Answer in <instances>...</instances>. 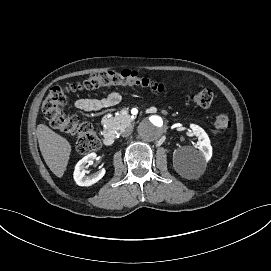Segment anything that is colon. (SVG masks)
I'll use <instances>...</instances> for the list:
<instances>
[{
    "label": "colon",
    "mask_w": 271,
    "mask_h": 271,
    "mask_svg": "<svg viewBox=\"0 0 271 271\" xmlns=\"http://www.w3.org/2000/svg\"><path fill=\"white\" fill-rule=\"evenodd\" d=\"M108 86H140L159 93L166 90L163 83L128 69L121 72H99L80 82L51 88L42 101V111L55 130L77 136L76 150L80 155L98 150L100 142L90 123L63 111L67 95L75 91H94ZM188 97L195 105L208 107L213 102L214 94L210 89H203L190 93ZM231 126V119L226 113L217 114L213 120L215 134L228 133Z\"/></svg>",
    "instance_id": "obj_1"
}]
</instances>
